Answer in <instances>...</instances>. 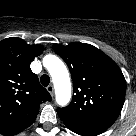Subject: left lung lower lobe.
I'll use <instances>...</instances> for the list:
<instances>
[{
  "instance_id": "1",
  "label": "left lung lower lobe",
  "mask_w": 136,
  "mask_h": 136,
  "mask_svg": "<svg viewBox=\"0 0 136 136\" xmlns=\"http://www.w3.org/2000/svg\"><path fill=\"white\" fill-rule=\"evenodd\" d=\"M67 128L82 136H95L106 131L111 125L108 124H65Z\"/></svg>"
}]
</instances>
